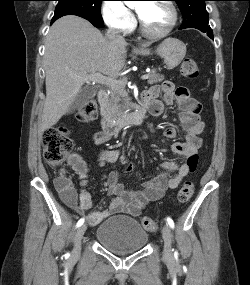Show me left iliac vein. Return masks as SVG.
Here are the masks:
<instances>
[{"label": "left iliac vein", "mask_w": 250, "mask_h": 285, "mask_svg": "<svg viewBox=\"0 0 250 285\" xmlns=\"http://www.w3.org/2000/svg\"><path fill=\"white\" fill-rule=\"evenodd\" d=\"M162 236L164 240V258L170 259L172 257V232L168 224H165L162 228Z\"/></svg>", "instance_id": "1"}]
</instances>
